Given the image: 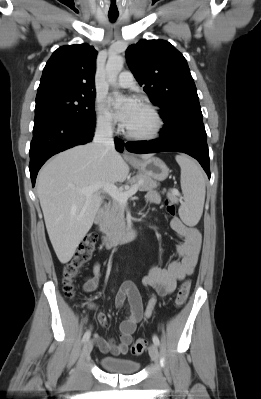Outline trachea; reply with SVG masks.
Wrapping results in <instances>:
<instances>
[{
  "label": "trachea",
  "instance_id": "trachea-1",
  "mask_svg": "<svg viewBox=\"0 0 261 399\" xmlns=\"http://www.w3.org/2000/svg\"><path fill=\"white\" fill-rule=\"evenodd\" d=\"M113 3L115 5V2H111V5H113ZM108 17L111 22H114L118 18V14H108Z\"/></svg>",
  "mask_w": 261,
  "mask_h": 399
}]
</instances>
